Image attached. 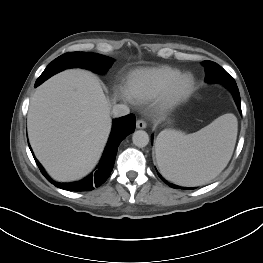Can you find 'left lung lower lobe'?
<instances>
[{
	"instance_id": "obj_1",
	"label": "left lung lower lobe",
	"mask_w": 263,
	"mask_h": 263,
	"mask_svg": "<svg viewBox=\"0 0 263 263\" xmlns=\"http://www.w3.org/2000/svg\"><path fill=\"white\" fill-rule=\"evenodd\" d=\"M203 65L205 66V69H206L205 81L212 82V78L214 77L215 72L219 71L222 67L219 66L218 64L212 62V61H204ZM223 85L226 86L231 91V93L233 94V97L235 99V102L237 104V107H238L239 111L241 112L240 94H239V90H238V87L236 85V82L227 81ZM157 174L166 184H168L172 188H175V189H179V188H181V189H193V188H183V187H179L177 185L170 184L167 181H165L159 173H157Z\"/></svg>"
}]
</instances>
